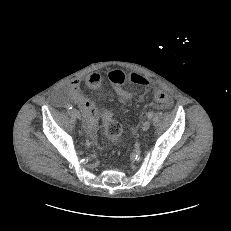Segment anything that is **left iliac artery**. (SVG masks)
<instances>
[{
	"mask_svg": "<svg viewBox=\"0 0 231 231\" xmlns=\"http://www.w3.org/2000/svg\"><path fill=\"white\" fill-rule=\"evenodd\" d=\"M147 117H148V119H151L153 117V112L152 111L148 112Z\"/></svg>",
	"mask_w": 231,
	"mask_h": 231,
	"instance_id": "44dca946",
	"label": "left iliac artery"
}]
</instances>
